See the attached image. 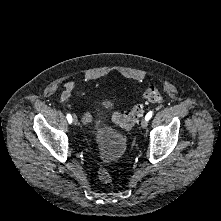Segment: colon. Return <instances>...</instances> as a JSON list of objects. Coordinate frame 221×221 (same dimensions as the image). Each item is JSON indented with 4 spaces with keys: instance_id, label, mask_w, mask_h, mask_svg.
<instances>
[{
    "instance_id": "obj_1",
    "label": "colon",
    "mask_w": 221,
    "mask_h": 221,
    "mask_svg": "<svg viewBox=\"0 0 221 221\" xmlns=\"http://www.w3.org/2000/svg\"><path fill=\"white\" fill-rule=\"evenodd\" d=\"M164 101L163 94L156 88L150 87L142 94L141 102L137 103L129 112L121 114L113 110L112 103L106 101L105 107L111 112L113 122L123 129L132 128L145 112V104L147 103H162ZM81 121L83 123H92L93 118L89 113L84 112L81 115ZM99 178L104 183L111 181V175L105 167H101L99 170Z\"/></svg>"
}]
</instances>
